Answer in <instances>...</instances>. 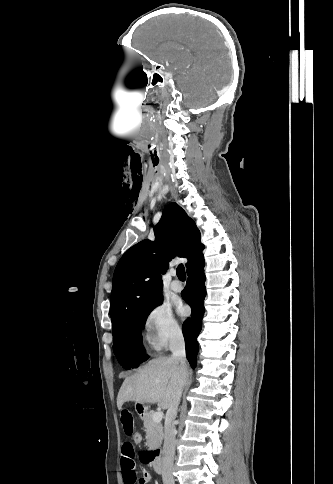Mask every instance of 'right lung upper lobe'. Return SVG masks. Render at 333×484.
<instances>
[{
  "mask_svg": "<svg viewBox=\"0 0 333 484\" xmlns=\"http://www.w3.org/2000/svg\"><path fill=\"white\" fill-rule=\"evenodd\" d=\"M154 235V241L146 239L128 249L115 269L110 304L113 335L127 317L162 297L161 273L169 261L187 258L188 271L204 260L200 232L177 203L165 207Z\"/></svg>",
  "mask_w": 333,
  "mask_h": 484,
  "instance_id": "right-lung-upper-lobe-1",
  "label": "right lung upper lobe"
}]
</instances>
